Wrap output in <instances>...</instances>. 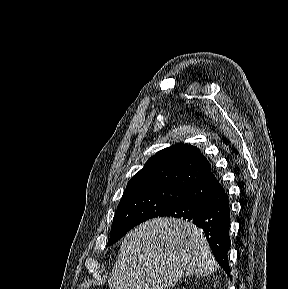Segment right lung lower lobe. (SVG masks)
I'll list each match as a JSON object with an SVG mask.
<instances>
[{
    "mask_svg": "<svg viewBox=\"0 0 288 289\" xmlns=\"http://www.w3.org/2000/svg\"><path fill=\"white\" fill-rule=\"evenodd\" d=\"M160 216L183 218L202 228L219 265L230 275V209L225 190L210 171Z\"/></svg>",
    "mask_w": 288,
    "mask_h": 289,
    "instance_id": "right-lung-lower-lobe-1",
    "label": "right lung lower lobe"
}]
</instances>
